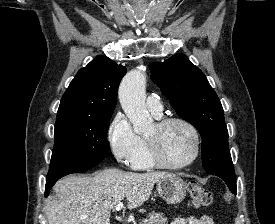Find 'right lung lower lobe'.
<instances>
[{
  "label": "right lung lower lobe",
  "mask_w": 275,
  "mask_h": 224,
  "mask_svg": "<svg viewBox=\"0 0 275 224\" xmlns=\"http://www.w3.org/2000/svg\"><path fill=\"white\" fill-rule=\"evenodd\" d=\"M101 161H102V160H101ZM99 162H100V161H99ZM99 162H96V163H93V164H90V165H87V166H83V167H79V168H75V169L66 171V172H64L63 174H61V175H59V176H56V177L47 178L45 196H46V197L48 196L51 187H52V186L55 184V182H56L58 179H60L61 177L66 176V175L71 174V173H81V172L87 171V170H89L90 168H92L93 166H95L96 164H98Z\"/></svg>",
  "instance_id": "1"
}]
</instances>
